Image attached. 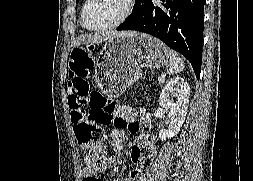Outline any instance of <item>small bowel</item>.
<instances>
[{
  "label": "small bowel",
  "mask_w": 253,
  "mask_h": 181,
  "mask_svg": "<svg viewBox=\"0 0 253 181\" xmlns=\"http://www.w3.org/2000/svg\"><path fill=\"white\" fill-rule=\"evenodd\" d=\"M92 64V58L88 54L83 53L78 60L77 68L72 70L70 74L68 83L69 99L76 95L89 92L88 76ZM136 115L137 113L135 110L125 106L119 107L116 111L115 127L109 135L112 143L117 147L121 146V138L125 135L127 129L135 135V143L131 150L132 167L126 177L116 181H134L144 160L143 150H146L151 156L155 154V146L152 141L144 140V134L135 120ZM115 165V161L110 160L106 168H112ZM82 181H103V178H97L93 174L92 169L84 167L82 171Z\"/></svg>",
  "instance_id": "obj_1"
}]
</instances>
